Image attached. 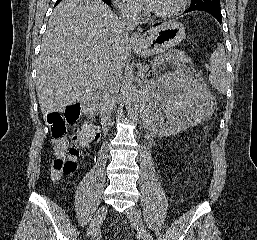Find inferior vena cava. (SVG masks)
<instances>
[{"label":"inferior vena cava","instance_id":"602c4592","mask_svg":"<svg viewBox=\"0 0 257 240\" xmlns=\"http://www.w3.org/2000/svg\"><path fill=\"white\" fill-rule=\"evenodd\" d=\"M121 15L117 23L120 38H127L128 33L139 23V9L133 3H126L120 9ZM121 86V73L111 72L99 86L101 115L105 130L116 108L117 95Z\"/></svg>","mask_w":257,"mask_h":240}]
</instances>
